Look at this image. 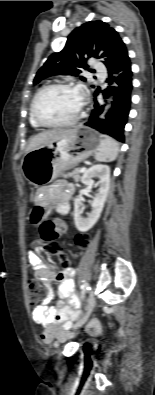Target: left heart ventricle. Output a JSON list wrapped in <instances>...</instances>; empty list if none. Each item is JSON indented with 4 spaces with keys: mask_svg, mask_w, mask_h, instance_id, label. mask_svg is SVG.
<instances>
[{
    "mask_svg": "<svg viewBox=\"0 0 155 395\" xmlns=\"http://www.w3.org/2000/svg\"><path fill=\"white\" fill-rule=\"evenodd\" d=\"M81 105L79 92L71 88H52L41 94L36 104L38 117L46 123L70 120Z\"/></svg>",
    "mask_w": 155,
    "mask_h": 395,
    "instance_id": "left-heart-ventricle-1",
    "label": "left heart ventricle"
}]
</instances>
